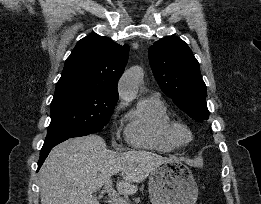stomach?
<instances>
[{
	"label": "stomach",
	"instance_id": "1",
	"mask_svg": "<svg viewBox=\"0 0 261 204\" xmlns=\"http://www.w3.org/2000/svg\"><path fill=\"white\" fill-rule=\"evenodd\" d=\"M148 185L152 204H195L198 197L192 171L176 159L155 167L150 172Z\"/></svg>",
	"mask_w": 261,
	"mask_h": 204
}]
</instances>
